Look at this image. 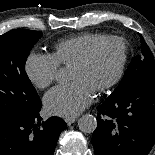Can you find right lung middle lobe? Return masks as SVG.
I'll return each mask as SVG.
<instances>
[{"label": "right lung middle lobe", "instance_id": "dd1d6c3e", "mask_svg": "<svg viewBox=\"0 0 155 155\" xmlns=\"http://www.w3.org/2000/svg\"><path fill=\"white\" fill-rule=\"evenodd\" d=\"M42 33L15 29L0 36V118L29 117L41 108L25 62Z\"/></svg>", "mask_w": 155, "mask_h": 155}]
</instances>
